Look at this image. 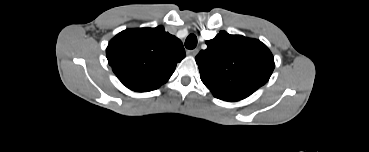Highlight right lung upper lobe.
I'll return each instance as SVG.
<instances>
[{
	"instance_id": "obj_1",
	"label": "right lung upper lobe",
	"mask_w": 369,
	"mask_h": 152,
	"mask_svg": "<svg viewBox=\"0 0 369 152\" xmlns=\"http://www.w3.org/2000/svg\"><path fill=\"white\" fill-rule=\"evenodd\" d=\"M106 54L118 79L136 92L159 88L186 56L182 42L163 26L124 30L109 42Z\"/></svg>"
}]
</instances>
